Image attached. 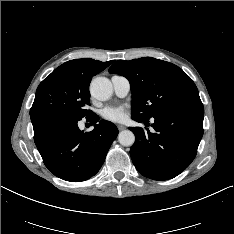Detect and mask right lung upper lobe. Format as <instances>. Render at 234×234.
<instances>
[{"mask_svg": "<svg viewBox=\"0 0 234 234\" xmlns=\"http://www.w3.org/2000/svg\"><path fill=\"white\" fill-rule=\"evenodd\" d=\"M112 63L113 61L101 62L90 58L75 59L65 62L53 72L69 73L89 85L94 75L103 71Z\"/></svg>", "mask_w": 234, "mask_h": 234, "instance_id": "cb5924a9", "label": "right lung upper lobe"}]
</instances>
